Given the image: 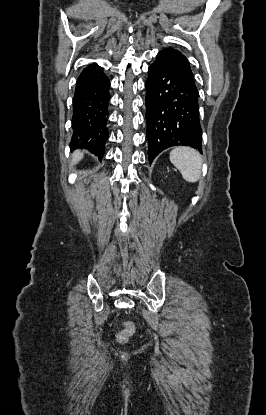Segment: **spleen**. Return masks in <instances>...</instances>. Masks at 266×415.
Wrapping results in <instances>:
<instances>
[{
	"label": "spleen",
	"instance_id": "3e777b00",
	"mask_svg": "<svg viewBox=\"0 0 266 415\" xmlns=\"http://www.w3.org/2000/svg\"><path fill=\"white\" fill-rule=\"evenodd\" d=\"M171 163L179 170L183 179L195 183L201 177V155L189 147H177L170 152Z\"/></svg>",
	"mask_w": 266,
	"mask_h": 415
}]
</instances>
